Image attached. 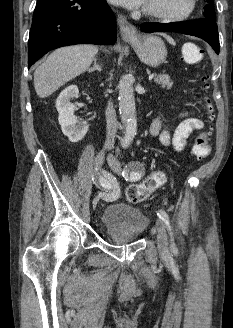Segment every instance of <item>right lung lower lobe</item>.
I'll list each match as a JSON object with an SVG mask.
<instances>
[{"label":"right lung lower lobe","mask_w":233,"mask_h":328,"mask_svg":"<svg viewBox=\"0 0 233 328\" xmlns=\"http://www.w3.org/2000/svg\"><path fill=\"white\" fill-rule=\"evenodd\" d=\"M116 19L105 0H38L28 41V68L48 51L116 41Z\"/></svg>","instance_id":"obj_1"}]
</instances>
